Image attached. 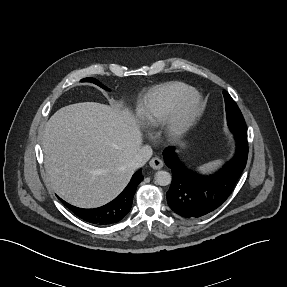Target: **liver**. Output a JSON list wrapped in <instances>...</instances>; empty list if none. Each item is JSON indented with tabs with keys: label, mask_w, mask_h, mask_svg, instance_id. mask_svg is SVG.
Listing matches in <instances>:
<instances>
[{
	"label": "liver",
	"mask_w": 287,
	"mask_h": 287,
	"mask_svg": "<svg viewBox=\"0 0 287 287\" xmlns=\"http://www.w3.org/2000/svg\"><path fill=\"white\" fill-rule=\"evenodd\" d=\"M142 142L140 126L127 110L96 102L65 106L48 120L42 137L48 181L74 206H102L128 184Z\"/></svg>",
	"instance_id": "1"
}]
</instances>
